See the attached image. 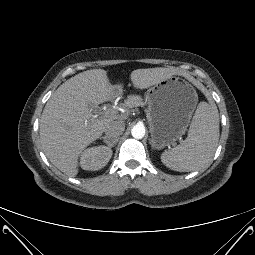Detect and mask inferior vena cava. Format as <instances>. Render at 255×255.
<instances>
[{"label":"inferior vena cava","instance_id":"1","mask_svg":"<svg viewBox=\"0 0 255 255\" xmlns=\"http://www.w3.org/2000/svg\"><path fill=\"white\" fill-rule=\"evenodd\" d=\"M125 130V124L122 121H113L110 122L104 132L107 144L114 145L118 141V137L123 134Z\"/></svg>","mask_w":255,"mask_h":255}]
</instances>
